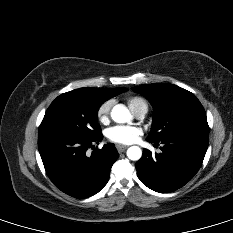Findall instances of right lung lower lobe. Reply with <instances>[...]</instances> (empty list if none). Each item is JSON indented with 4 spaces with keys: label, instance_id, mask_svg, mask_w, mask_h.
I'll list each match as a JSON object with an SVG mask.
<instances>
[{
    "label": "right lung lower lobe",
    "instance_id": "98d812e1",
    "mask_svg": "<svg viewBox=\"0 0 233 233\" xmlns=\"http://www.w3.org/2000/svg\"><path fill=\"white\" fill-rule=\"evenodd\" d=\"M103 138H95L47 133L38 135V149L53 184L64 193L75 198H87L99 192L108 182L112 165L118 152L112 143L96 149L91 156L86 155L93 143Z\"/></svg>",
    "mask_w": 233,
    "mask_h": 233
}]
</instances>
